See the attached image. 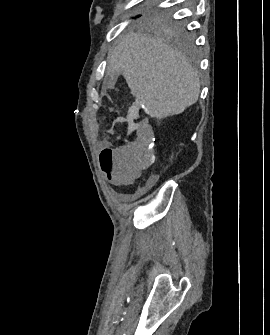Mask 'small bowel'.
I'll list each match as a JSON object with an SVG mask.
<instances>
[{
	"label": "small bowel",
	"instance_id": "1",
	"mask_svg": "<svg viewBox=\"0 0 270 335\" xmlns=\"http://www.w3.org/2000/svg\"><path fill=\"white\" fill-rule=\"evenodd\" d=\"M126 134L138 135L136 145L115 149L114 144H99L98 149L104 154H94V161L101 165L99 171L105 178H136L140 175L139 169L151 165L148 156H159V149H152L156 141L148 120L128 121Z\"/></svg>",
	"mask_w": 270,
	"mask_h": 335
}]
</instances>
